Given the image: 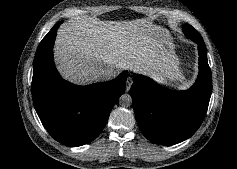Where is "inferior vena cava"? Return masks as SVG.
<instances>
[{
    "label": "inferior vena cava",
    "instance_id": "602c4592",
    "mask_svg": "<svg viewBox=\"0 0 237 169\" xmlns=\"http://www.w3.org/2000/svg\"><path fill=\"white\" fill-rule=\"evenodd\" d=\"M120 71L115 68H107L101 71L100 77L102 80H110L112 78H115Z\"/></svg>",
    "mask_w": 237,
    "mask_h": 169
}]
</instances>
